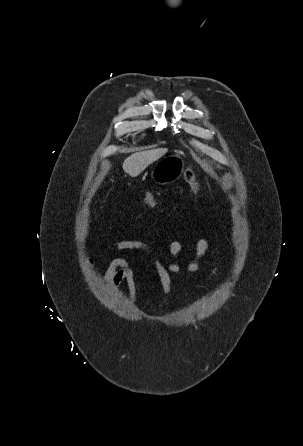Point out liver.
Segmentation results:
<instances>
[{
  "label": "liver",
  "instance_id": "liver-1",
  "mask_svg": "<svg viewBox=\"0 0 303 446\" xmlns=\"http://www.w3.org/2000/svg\"><path fill=\"white\" fill-rule=\"evenodd\" d=\"M166 152V149H154L133 153L123 162V170L131 177H136Z\"/></svg>",
  "mask_w": 303,
  "mask_h": 446
}]
</instances>
